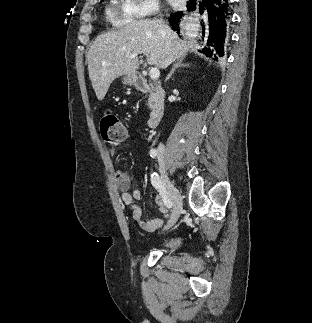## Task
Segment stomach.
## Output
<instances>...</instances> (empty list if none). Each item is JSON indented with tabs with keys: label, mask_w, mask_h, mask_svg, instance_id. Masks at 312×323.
Returning <instances> with one entry per match:
<instances>
[{
	"label": "stomach",
	"mask_w": 312,
	"mask_h": 323,
	"mask_svg": "<svg viewBox=\"0 0 312 323\" xmlns=\"http://www.w3.org/2000/svg\"><path fill=\"white\" fill-rule=\"evenodd\" d=\"M137 80L136 74H126L123 78V84H127V86H131V84H135Z\"/></svg>",
	"instance_id": "stomach-1"
}]
</instances>
